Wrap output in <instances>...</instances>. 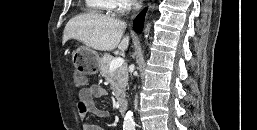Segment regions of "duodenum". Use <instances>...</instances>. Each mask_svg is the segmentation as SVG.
Masks as SVG:
<instances>
[{
  "mask_svg": "<svg viewBox=\"0 0 257 130\" xmlns=\"http://www.w3.org/2000/svg\"><path fill=\"white\" fill-rule=\"evenodd\" d=\"M128 103L125 99H120L118 101V111L124 115L127 111Z\"/></svg>",
  "mask_w": 257,
  "mask_h": 130,
  "instance_id": "obj_1",
  "label": "duodenum"
}]
</instances>
